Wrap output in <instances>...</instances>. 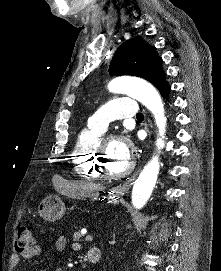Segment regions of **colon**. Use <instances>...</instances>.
Masks as SVG:
<instances>
[{"mask_svg": "<svg viewBox=\"0 0 221 271\" xmlns=\"http://www.w3.org/2000/svg\"><path fill=\"white\" fill-rule=\"evenodd\" d=\"M35 244V235L27 223H20L18 226L15 249L22 252Z\"/></svg>", "mask_w": 221, "mask_h": 271, "instance_id": "5ec220e1", "label": "colon"}]
</instances>
